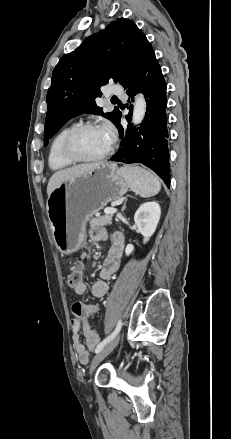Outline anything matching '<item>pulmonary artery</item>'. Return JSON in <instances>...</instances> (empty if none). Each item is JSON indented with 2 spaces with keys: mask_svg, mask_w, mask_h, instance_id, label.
Segmentation results:
<instances>
[{
  "mask_svg": "<svg viewBox=\"0 0 231 439\" xmlns=\"http://www.w3.org/2000/svg\"><path fill=\"white\" fill-rule=\"evenodd\" d=\"M108 93L109 94H122L123 90L119 86L112 85L109 87Z\"/></svg>",
  "mask_w": 231,
  "mask_h": 439,
  "instance_id": "pulmonary-artery-1",
  "label": "pulmonary artery"
}]
</instances>
